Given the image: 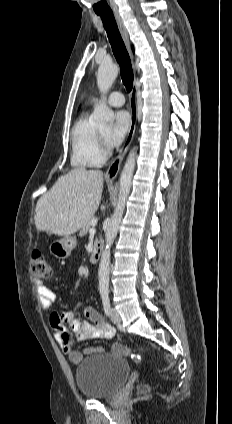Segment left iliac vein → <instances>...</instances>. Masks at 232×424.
<instances>
[{
	"label": "left iliac vein",
	"mask_w": 232,
	"mask_h": 424,
	"mask_svg": "<svg viewBox=\"0 0 232 424\" xmlns=\"http://www.w3.org/2000/svg\"><path fill=\"white\" fill-rule=\"evenodd\" d=\"M110 317L113 323L117 325L121 323V317L116 309H111Z\"/></svg>",
	"instance_id": "obj_1"
}]
</instances>
